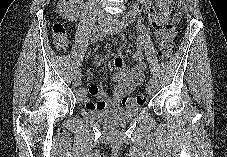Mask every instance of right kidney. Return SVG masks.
I'll return each mask as SVG.
<instances>
[{
  "instance_id": "obj_1",
  "label": "right kidney",
  "mask_w": 227,
  "mask_h": 157,
  "mask_svg": "<svg viewBox=\"0 0 227 157\" xmlns=\"http://www.w3.org/2000/svg\"><path fill=\"white\" fill-rule=\"evenodd\" d=\"M76 1H66V0H60L58 4V12L59 14L67 20L74 21L78 18V13H76V8H74L71 3Z\"/></svg>"
}]
</instances>
